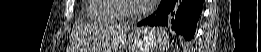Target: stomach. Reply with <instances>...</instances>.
Returning <instances> with one entry per match:
<instances>
[{
  "mask_svg": "<svg viewBox=\"0 0 261 52\" xmlns=\"http://www.w3.org/2000/svg\"><path fill=\"white\" fill-rule=\"evenodd\" d=\"M161 32V29H139L125 36V46L128 52H153L161 41Z\"/></svg>",
  "mask_w": 261,
  "mask_h": 52,
  "instance_id": "0dacf381",
  "label": "stomach"
}]
</instances>
